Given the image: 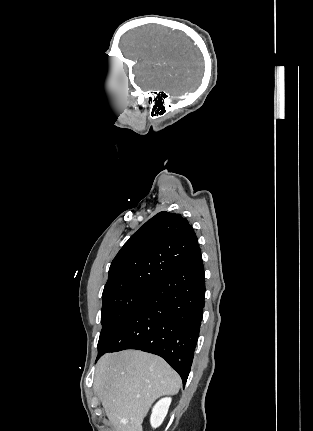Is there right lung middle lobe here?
Listing matches in <instances>:
<instances>
[{"label": "right lung middle lobe", "instance_id": "1", "mask_svg": "<svg viewBox=\"0 0 313 431\" xmlns=\"http://www.w3.org/2000/svg\"><path fill=\"white\" fill-rule=\"evenodd\" d=\"M154 288L133 289L102 296V331L98 350L109 340L118 327L141 304Z\"/></svg>", "mask_w": 313, "mask_h": 431}]
</instances>
